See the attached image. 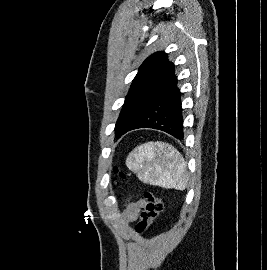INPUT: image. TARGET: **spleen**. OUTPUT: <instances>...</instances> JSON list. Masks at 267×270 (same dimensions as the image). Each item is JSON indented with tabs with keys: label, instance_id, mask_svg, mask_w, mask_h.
Segmentation results:
<instances>
[{
	"label": "spleen",
	"instance_id": "3e777b00",
	"mask_svg": "<svg viewBox=\"0 0 267 270\" xmlns=\"http://www.w3.org/2000/svg\"><path fill=\"white\" fill-rule=\"evenodd\" d=\"M126 165L146 184L178 190L187 186L186 162L168 143L156 141L137 146L129 153Z\"/></svg>",
	"mask_w": 267,
	"mask_h": 270
}]
</instances>
